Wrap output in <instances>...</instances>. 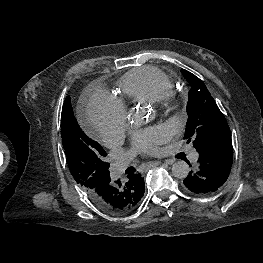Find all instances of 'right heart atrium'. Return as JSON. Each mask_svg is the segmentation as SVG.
Wrapping results in <instances>:
<instances>
[{
	"instance_id": "obj_1",
	"label": "right heart atrium",
	"mask_w": 263,
	"mask_h": 263,
	"mask_svg": "<svg viewBox=\"0 0 263 263\" xmlns=\"http://www.w3.org/2000/svg\"><path fill=\"white\" fill-rule=\"evenodd\" d=\"M87 120L104 144H109L126 127L125 107L105 92L94 93L87 107Z\"/></svg>"
}]
</instances>
